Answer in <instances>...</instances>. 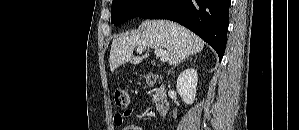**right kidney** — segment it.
Returning <instances> with one entry per match:
<instances>
[{
  "instance_id": "ca27d5eb",
  "label": "right kidney",
  "mask_w": 299,
  "mask_h": 130,
  "mask_svg": "<svg viewBox=\"0 0 299 130\" xmlns=\"http://www.w3.org/2000/svg\"><path fill=\"white\" fill-rule=\"evenodd\" d=\"M198 75L194 68L184 70L177 79V92L182 100L190 105L194 102L197 91Z\"/></svg>"
}]
</instances>
